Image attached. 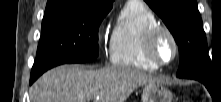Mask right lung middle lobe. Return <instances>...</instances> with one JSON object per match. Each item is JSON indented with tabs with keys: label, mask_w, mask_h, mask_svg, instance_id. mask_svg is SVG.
Here are the masks:
<instances>
[{
	"label": "right lung middle lobe",
	"mask_w": 221,
	"mask_h": 102,
	"mask_svg": "<svg viewBox=\"0 0 221 102\" xmlns=\"http://www.w3.org/2000/svg\"><path fill=\"white\" fill-rule=\"evenodd\" d=\"M111 8L76 7L44 13L31 76L64 63L93 61L99 54L98 28Z\"/></svg>",
	"instance_id": "1"
}]
</instances>
